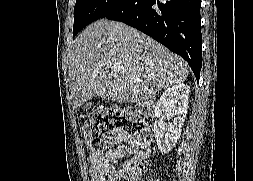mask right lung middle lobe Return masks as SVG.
I'll list each match as a JSON object with an SVG mask.
<instances>
[{
    "label": "right lung middle lobe",
    "mask_w": 253,
    "mask_h": 181,
    "mask_svg": "<svg viewBox=\"0 0 253 181\" xmlns=\"http://www.w3.org/2000/svg\"><path fill=\"white\" fill-rule=\"evenodd\" d=\"M127 0H76L73 36L91 22L117 11Z\"/></svg>",
    "instance_id": "dd1d6c3e"
}]
</instances>
